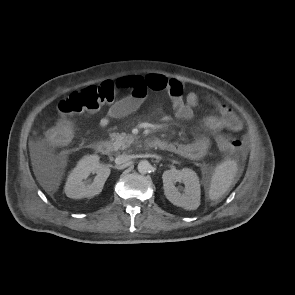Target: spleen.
I'll list each match as a JSON object with an SVG mask.
<instances>
[{
	"mask_svg": "<svg viewBox=\"0 0 295 295\" xmlns=\"http://www.w3.org/2000/svg\"><path fill=\"white\" fill-rule=\"evenodd\" d=\"M237 172V163L233 160H224L214 170L211 177L209 198L214 201L219 199L231 186Z\"/></svg>",
	"mask_w": 295,
	"mask_h": 295,
	"instance_id": "obj_1",
	"label": "spleen"
}]
</instances>
